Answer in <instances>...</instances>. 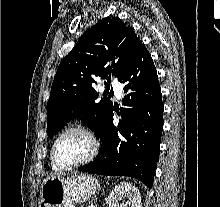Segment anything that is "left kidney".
<instances>
[{
	"instance_id": "5707ae66",
	"label": "left kidney",
	"mask_w": 220,
	"mask_h": 207,
	"mask_svg": "<svg viewBox=\"0 0 220 207\" xmlns=\"http://www.w3.org/2000/svg\"><path fill=\"white\" fill-rule=\"evenodd\" d=\"M107 204L108 207H142L138 188L128 182L121 183L110 192Z\"/></svg>"
}]
</instances>
